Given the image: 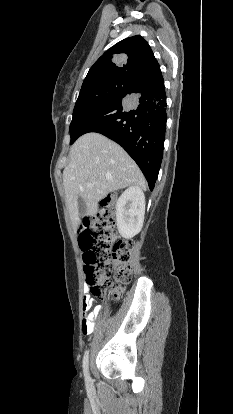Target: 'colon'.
<instances>
[{"mask_svg": "<svg viewBox=\"0 0 233 414\" xmlns=\"http://www.w3.org/2000/svg\"><path fill=\"white\" fill-rule=\"evenodd\" d=\"M83 251L84 274L93 296L100 297L110 289L119 298L132 279L131 253L134 241L119 238L115 232L114 200L107 197L93 218L79 233ZM112 278L114 282H112Z\"/></svg>", "mask_w": 233, "mask_h": 414, "instance_id": "5ec220e1", "label": "colon"}]
</instances>
